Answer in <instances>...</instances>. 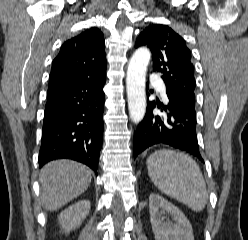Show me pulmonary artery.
Instances as JSON below:
<instances>
[{"label":"pulmonary artery","mask_w":248,"mask_h":240,"mask_svg":"<svg viewBox=\"0 0 248 240\" xmlns=\"http://www.w3.org/2000/svg\"><path fill=\"white\" fill-rule=\"evenodd\" d=\"M157 80H158V77H157L156 75H153V76L151 77V81H152V82H156ZM159 90H160V92L162 93V95L165 97V96H166L165 87H164V86H161V87H159Z\"/></svg>","instance_id":"pulmonary-artery-1"}]
</instances>
